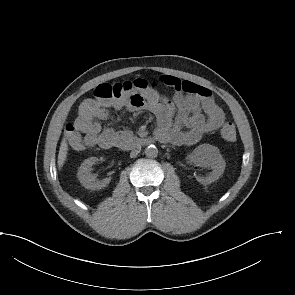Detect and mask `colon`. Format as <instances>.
Masks as SVG:
<instances>
[{"instance_id": "1", "label": "colon", "mask_w": 295, "mask_h": 295, "mask_svg": "<svg viewBox=\"0 0 295 295\" xmlns=\"http://www.w3.org/2000/svg\"><path fill=\"white\" fill-rule=\"evenodd\" d=\"M153 88L154 86L152 84L143 79L115 84H100L94 90V98L85 99L80 104L79 116L89 115L94 107L99 104L109 103L131 93L144 92ZM220 133L225 141L233 142L236 140V129L234 124L230 122H227L222 126Z\"/></svg>"}]
</instances>
